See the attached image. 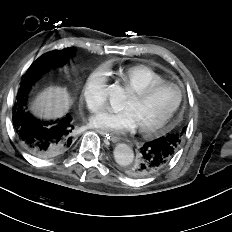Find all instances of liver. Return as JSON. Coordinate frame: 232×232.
Masks as SVG:
<instances>
[{"mask_svg": "<svg viewBox=\"0 0 232 232\" xmlns=\"http://www.w3.org/2000/svg\"><path fill=\"white\" fill-rule=\"evenodd\" d=\"M71 103L65 88L50 86L37 96L32 110L41 118H59L68 111Z\"/></svg>", "mask_w": 232, "mask_h": 232, "instance_id": "obj_1", "label": "liver"}]
</instances>
